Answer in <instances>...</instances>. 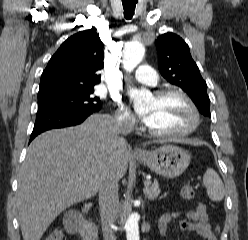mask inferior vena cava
<instances>
[{
	"mask_svg": "<svg viewBox=\"0 0 248 240\" xmlns=\"http://www.w3.org/2000/svg\"><path fill=\"white\" fill-rule=\"evenodd\" d=\"M131 128L127 119H117L114 120L113 134L115 137L126 135ZM118 188L119 178L113 172L106 173L99 187V209L104 240H116L111 226L118 212Z\"/></svg>",
	"mask_w": 248,
	"mask_h": 240,
	"instance_id": "1",
	"label": "inferior vena cava"
}]
</instances>
